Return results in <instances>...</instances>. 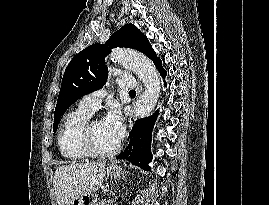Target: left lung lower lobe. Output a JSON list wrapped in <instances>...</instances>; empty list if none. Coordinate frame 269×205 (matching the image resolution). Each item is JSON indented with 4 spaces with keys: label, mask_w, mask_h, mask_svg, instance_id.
<instances>
[{
    "label": "left lung lower lobe",
    "mask_w": 269,
    "mask_h": 205,
    "mask_svg": "<svg viewBox=\"0 0 269 205\" xmlns=\"http://www.w3.org/2000/svg\"><path fill=\"white\" fill-rule=\"evenodd\" d=\"M154 64L161 75L165 77L166 71L162 68L161 60L158 59ZM157 115L158 111L148 118L138 119L135 122L130 132L129 145L116 159H125L141 169L151 170L148 166V163L152 160L150 152L151 134Z\"/></svg>",
    "instance_id": "0a47b994"
}]
</instances>
